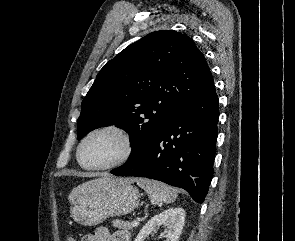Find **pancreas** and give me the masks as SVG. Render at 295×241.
<instances>
[{"mask_svg": "<svg viewBox=\"0 0 295 241\" xmlns=\"http://www.w3.org/2000/svg\"><path fill=\"white\" fill-rule=\"evenodd\" d=\"M113 226L119 229L123 230H131L132 226L128 221H123V220H114L113 221Z\"/></svg>", "mask_w": 295, "mask_h": 241, "instance_id": "cf45deb5", "label": "pancreas"}]
</instances>
